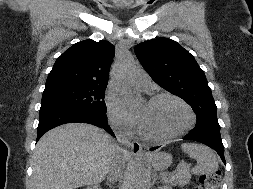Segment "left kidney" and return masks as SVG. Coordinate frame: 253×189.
Instances as JSON below:
<instances>
[{
    "mask_svg": "<svg viewBox=\"0 0 253 189\" xmlns=\"http://www.w3.org/2000/svg\"><path fill=\"white\" fill-rule=\"evenodd\" d=\"M159 189H171V188H169L168 186H163V187H160Z\"/></svg>",
    "mask_w": 253,
    "mask_h": 189,
    "instance_id": "obj_1",
    "label": "left kidney"
}]
</instances>
